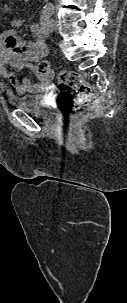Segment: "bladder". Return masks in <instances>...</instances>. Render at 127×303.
<instances>
[{"mask_svg": "<svg viewBox=\"0 0 127 303\" xmlns=\"http://www.w3.org/2000/svg\"><path fill=\"white\" fill-rule=\"evenodd\" d=\"M9 103L15 109L32 114L47 115L49 113L42 97L38 94L10 95Z\"/></svg>", "mask_w": 127, "mask_h": 303, "instance_id": "obj_1", "label": "bladder"}]
</instances>
